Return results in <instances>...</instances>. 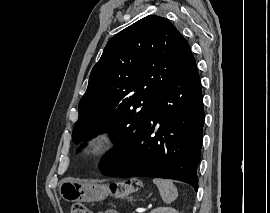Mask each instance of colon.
<instances>
[{"label":"colon","mask_w":270,"mask_h":213,"mask_svg":"<svg viewBox=\"0 0 270 213\" xmlns=\"http://www.w3.org/2000/svg\"><path fill=\"white\" fill-rule=\"evenodd\" d=\"M139 188V184L136 180H127L120 183L112 184L110 187V193L113 197H123L136 192ZM71 213H91L89 209L83 204H74L71 209Z\"/></svg>","instance_id":"colon-1"}]
</instances>
